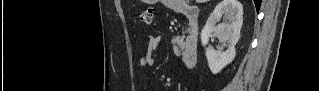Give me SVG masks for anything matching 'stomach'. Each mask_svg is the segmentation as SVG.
Masks as SVG:
<instances>
[{
    "mask_svg": "<svg viewBox=\"0 0 319 91\" xmlns=\"http://www.w3.org/2000/svg\"><path fill=\"white\" fill-rule=\"evenodd\" d=\"M148 2L154 3V2H156V0H148ZM163 2H165V3L171 2L172 5H176L178 0H163Z\"/></svg>",
    "mask_w": 319,
    "mask_h": 91,
    "instance_id": "stomach-1",
    "label": "stomach"
}]
</instances>
